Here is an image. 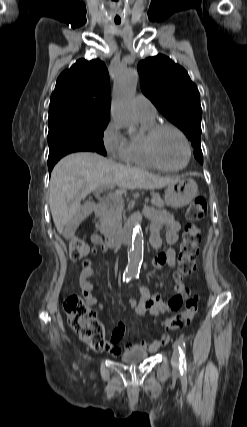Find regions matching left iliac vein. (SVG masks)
I'll return each mask as SVG.
<instances>
[{
  "label": "left iliac vein",
  "mask_w": 247,
  "mask_h": 427,
  "mask_svg": "<svg viewBox=\"0 0 247 427\" xmlns=\"http://www.w3.org/2000/svg\"><path fill=\"white\" fill-rule=\"evenodd\" d=\"M172 366L174 369H178L180 366V352H179V344L175 342L173 344V354H172Z\"/></svg>",
  "instance_id": "4c4485c4"
}]
</instances>
